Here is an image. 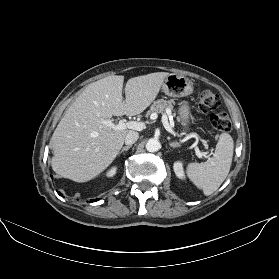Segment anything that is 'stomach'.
<instances>
[{
	"mask_svg": "<svg viewBox=\"0 0 279 279\" xmlns=\"http://www.w3.org/2000/svg\"><path fill=\"white\" fill-rule=\"evenodd\" d=\"M163 92L173 98H182L193 92V84L190 79L178 74H170L162 84ZM178 118L184 130H188L191 110L187 101H181L178 107Z\"/></svg>",
	"mask_w": 279,
	"mask_h": 279,
	"instance_id": "0dacf381",
	"label": "stomach"
}]
</instances>
